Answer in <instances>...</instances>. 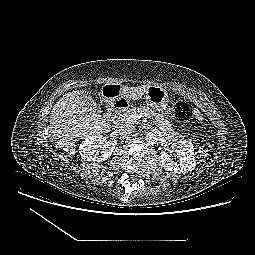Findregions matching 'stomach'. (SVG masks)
I'll return each mask as SVG.
<instances>
[{
    "label": "stomach",
    "instance_id": "1",
    "mask_svg": "<svg viewBox=\"0 0 255 255\" xmlns=\"http://www.w3.org/2000/svg\"><path fill=\"white\" fill-rule=\"evenodd\" d=\"M100 94L102 96V99L111 105H113L115 101L119 100H125L127 103L130 102L129 99H126L123 96L122 87H119L118 85L115 86V91L111 96L104 94L103 90ZM143 99L145 100L147 106H150L158 114L167 117L169 116L171 110L168 107L169 96L167 91L163 87L159 85H151L144 93Z\"/></svg>",
    "mask_w": 255,
    "mask_h": 255
}]
</instances>
